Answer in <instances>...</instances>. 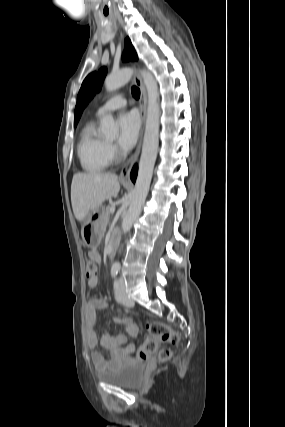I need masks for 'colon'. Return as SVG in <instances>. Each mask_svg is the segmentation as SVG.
<instances>
[{"label":"colon","instance_id":"obj_1","mask_svg":"<svg viewBox=\"0 0 285 427\" xmlns=\"http://www.w3.org/2000/svg\"><path fill=\"white\" fill-rule=\"evenodd\" d=\"M97 274L96 263L91 259H85V276L87 280L95 278ZM149 336L140 344L138 349V358L145 360L158 353V359L161 362L168 361L172 357V351L169 348H162L158 350V344L169 343L177 344L179 342V334L165 325L162 322H151L147 325Z\"/></svg>","mask_w":285,"mask_h":427}]
</instances>
